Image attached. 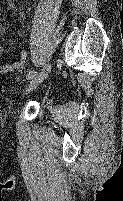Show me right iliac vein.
I'll return each mask as SVG.
<instances>
[{
	"label": "right iliac vein",
	"mask_w": 123,
	"mask_h": 201,
	"mask_svg": "<svg viewBox=\"0 0 123 201\" xmlns=\"http://www.w3.org/2000/svg\"><path fill=\"white\" fill-rule=\"evenodd\" d=\"M51 71V65L47 64L43 69L33 77L27 87L25 88L24 94L27 95L32 92L37 86H39L49 75Z\"/></svg>",
	"instance_id": "right-iliac-vein-1"
}]
</instances>
